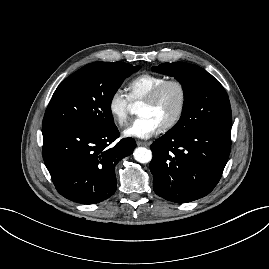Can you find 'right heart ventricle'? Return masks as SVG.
Here are the masks:
<instances>
[{
  "mask_svg": "<svg viewBox=\"0 0 269 269\" xmlns=\"http://www.w3.org/2000/svg\"><path fill=\"white\" fill-rule=\"evenodd\" d=\"M161 75L143 73L131 81L126 86L127 96L131 102L142 101L157 85L165 81Z\"/></svg>",
  "mask_w": 269,
  "mask_h": 269,
  "instance_id": "obj_1",
  "label": "right heart ventricle"
}]
</instances>
